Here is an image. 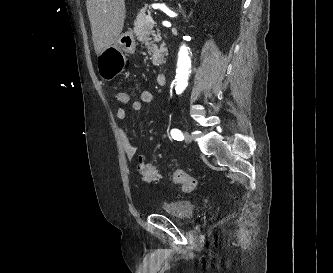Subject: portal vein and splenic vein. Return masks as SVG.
<instances>
[{
  "label": "portal vein and splenic vein",
  "instance_id": "portal-vein-and-splenic-vein-1",
  "mask_svg": "<svg viewBox=\"0 0 333 273\" xmlns=\"http://www.w3.org/2000/svg\"><path fill=\"white\" fill-rule=\"evenodd\" d=\"M146 22L152 26L154 25V20L150 15L146 16Z\"/></svg>",
  "mask_w": 333,
  "mask_h": 273
}]
</instances>
